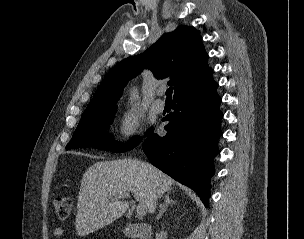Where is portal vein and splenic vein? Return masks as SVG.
Returning a JSON list of instances; mask_svg holds the SVG:
<instances>
[{
	"label": "portal vein and splenic vein",
	"instance_id": "portal-vein-and-splenic-vein-1",
	"mask_svg": "<svg viewBox=\"0 0 304 239\" xmlns=\"http://www.w3.org/2000/svg\"><path fill=\"white\" fill-rule=\"evenodd\" d=\"M116 197L118 199H125V198H130V195H129V193H120ZM136 211H137V215L139 217H142L146 214L147 208H146L145 204L139 203L138 206H137Z\"/></svg>",
	"mask_w": 304,
	"mask_h": 239
}]
</instances>
